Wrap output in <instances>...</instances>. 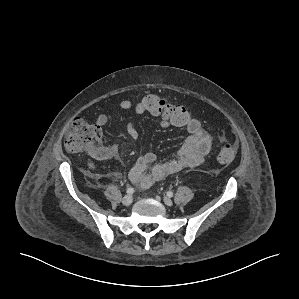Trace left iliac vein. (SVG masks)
<instances>
[{
  "label": "left iliac vein",
  "instance_id": "left-iliac-vein-1",
  "mask_svg": "<svg viewBox=\"0 0 299 299\" xmlns=\"http://www.w3.org/2000/svg\"><path fill=\"white\" fill-rule=\"evenodd\" d=\"M163 201H164V203H165L167 206H172V205H173V201H172L169 197H164V198H163Z\"/></svg>",
  "mask_w": 299,
  "mask_h": 299
}]
</instances>
